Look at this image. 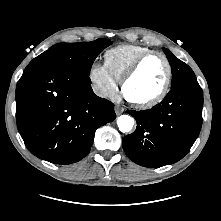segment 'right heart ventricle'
Here are the masks:
<instances>
[{
	"label": "right heart ventricle",
	"mask_w": 221,
	"mask_h": 221,
	"mask_svg": "<svg viewBox=\"0 0 221 221\" xmlns=\"http://www.w3.org/2000/svg\"><path fill=\"white\" fill-rule=\"evenodd\" d=\"M149 50L148 47L138 44L115 46L104 53V66L117 82H121L124 74L134 61Z\"/></svg>",
	"instance_id": "1"
}]
</instances>
